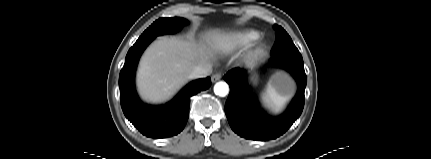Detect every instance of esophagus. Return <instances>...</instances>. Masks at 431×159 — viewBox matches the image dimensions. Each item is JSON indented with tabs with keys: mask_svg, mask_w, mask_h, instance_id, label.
<instances>
[{
	"mask_svg": "<svg viewBox=\"0 0 431 159\" xmlns=\"http://www.w3.org/2000/svg\"><path fill=\"white\" fill-rule=\"evenodd\" d=\"M221 77H222L221 73H215L212 75L211 80H212V82H216V81L220 80Z\"/></svg>",
	"mask_w": 431,
	"mask_h": 159,
	"instance_id": "34e87169",
	"label": "esophagus"
}]
</instances>
